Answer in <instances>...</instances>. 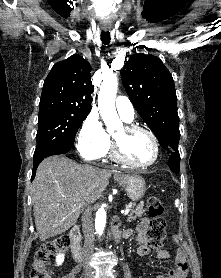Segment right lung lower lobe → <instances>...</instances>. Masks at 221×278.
<instances>
[{
	"instance_id": "right-lung-lower-lobe-1",
	"label": "right lung lower lobe",
	"mask_w": 221,
	"mask_h": 278,
	"mask_svg": "<svg viewBox=\"0 0 221 278\" xmlns=\"http://www.w3.org/2000/svg\"><path fill=\"white\" fill-rule=\"evenodd\" d=\"M72 146H73V143H70V142L55 143V144L49 145V146L35 152L34 156H33L34 166H33L31 181L35 177L36 169H37L38 165L44 158L51 156V155L64 154V153L68 152L72 148Z\"/></svg>"
}]
</instances>
